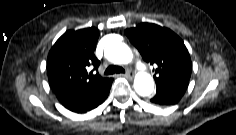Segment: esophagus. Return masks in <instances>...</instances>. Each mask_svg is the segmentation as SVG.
<instances>
[{
	"label": "esophagus",
	"mask_w": 236,
	"mask_h": 135,
	"mask_svg": "<svg viewBox=\"0 0 236 135\" xmlns=\"http://www.w3.org/2000/svg\"><path fill=\"white\" fill-rule=\"evenodd\" d=\"M123 76L127 77V78H132V74L130 72H127L125 74H123Z\"/></svg>",
	"instance_id": "34e87169"
}]
</instances>
